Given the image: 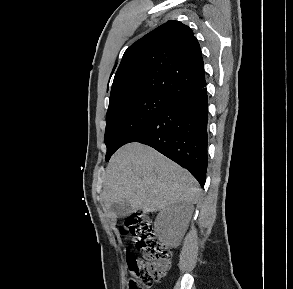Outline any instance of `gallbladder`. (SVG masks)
Listing matches in <instances>:
<instances>
[{"label":"gallbladder","instance_id":"obj_1","mask_svg":"<svg viewBox=\"0 0 293 289\" xmlns=\"http://www.w3.org/2000/svg\"><path fill=\"white\" fill-rule=\"evenodd\" d=\"M110 212L118 218H123L131 214L132 208L127 200L119 203H114L110 206Z\"/></svg>","mask_w":293,"mask_h":289}]
</instances>
